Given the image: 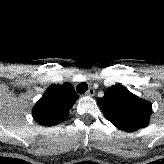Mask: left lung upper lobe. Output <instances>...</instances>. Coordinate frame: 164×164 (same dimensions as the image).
<instances>
[{"mask_svg": "<svg viewBox=\"0 0 164 164\" xmlns=\"http://www.w3.org/2000/svg\"><path fill=\"white\" fill-rule=\"evenodd\" d=\"M97 103L105 118L126 132L146 127L152 113L150 102L139 98L121 84L109 87Z\"/></svg>", "mask_w": 164, "mask_h": 164, "instance_id": "obj_1", "label": "left lung upper lobe"}]
</instances>
